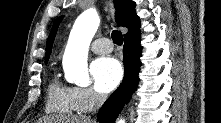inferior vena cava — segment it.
Wrapping results in <instances>:
<instances>
[{
    "instance_id": "inferior-vena-cava-1",
    "label": "inferior vena cava",
    "mask_w": 221,
    "mask_h": 123,
    "mask_svg": "<svg viewBox=\"0 0 221 123\" xmlns=\"http://www.w3.org/2000/svg\"><path fill=\"white\" fill-rule=\"evenodd\" d=\"M105 100H106V95L105 94H99V93L95 94V108H94V112H96V110L100 109V107L105 102Z\"/></svg>"
}]
</instances>
